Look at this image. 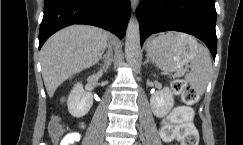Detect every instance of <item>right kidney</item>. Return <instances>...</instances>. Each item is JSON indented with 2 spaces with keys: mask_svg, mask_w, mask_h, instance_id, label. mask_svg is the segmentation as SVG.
<instances>
[{
  "mask_svg": "<svg viewBox=\"0 0 243 145\" xmlns=\"http://www.w3.org/2000/svg\"><path fill=\"white\" fill-rule=\"evenodd\" d=\"M93 104L91 93L85 91L81 83L74 85L67 100L68 111L76 118L85 116Z\"/></svg>",
  "mask_w": 243,
  "mask_h": 145,
  "instance_id": "ca27d5eb",
  "label": "right kidney"
}]
</instances>
